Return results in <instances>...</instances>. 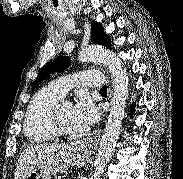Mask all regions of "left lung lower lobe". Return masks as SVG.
I'll use <instances>...</instances> for the list:
<instances>
[{
  "label": "left lung lower lobe",
  "instance_id": "left-lung-lower-lobe-1",
  "mask_svg": "<svg viewBox=\"0 0 183 179\" xmlns=\"http://www.w3.org/2000/svg\"><path fill=\"white\" fill-rule=\"evenodd\" d=\"M134 107H135V105L133 104V105H132V109H134ZM130 115H133V112H132Z\"/></svg>",
  "mask_w": 183,
  "mask_h": 179
}]
</instances>
